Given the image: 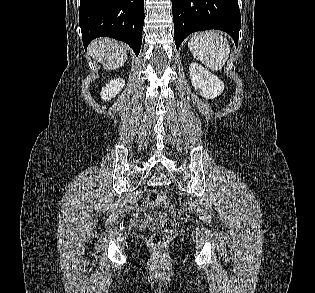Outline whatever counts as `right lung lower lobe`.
I'll list each match as a JSON object with an SVG mask.
<instances>
[{"instance_id": "98d812e1", "label": "right lung lower lobe", "mask_w": 315, "mask_h": 293, "mask_svg": "<svg viewBox=\"0 0 315 293\" xmlns=\"http://www.w3.org/2000/svg\"><path fill=\"white\" fill-rule=\"evenodd\" d=\"M144 0H80L79 25L83 45L106 36L126 42L139 54L144 22Z\"/></svg>"}]
</instances>
